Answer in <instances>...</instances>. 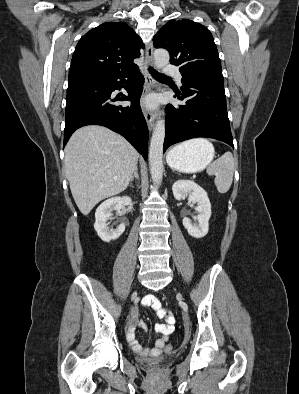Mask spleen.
Returning <instances> with one entry per match:
<instances>
[{
    "instance_id": "3e777b00",
    "label": "spleen",
    "mask_w": 299,
    "mask_h": 394,
    "mask_svg": "<svg viewBox=\"0 0 299 394\" xmlns=\"http://www.w3.org/2000/svg\"><path fill=\"white\" fill-rule=\"evenodd\" d=\"M187 143L212 146V144L206 139H194L181 144L180 147L186 145ZM234 165L235 161L233 155L228 151L207 167L208 175L216 176L215 185L218 192L221 194L226 193L231 187L234 175Z\"/></svg>"
}]
</instances>
